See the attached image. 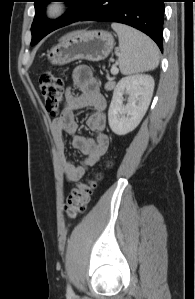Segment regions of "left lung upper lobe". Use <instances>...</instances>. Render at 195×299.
Here are the masks:
<instances>
[{
    "label": "left lung upper lobe",
    "mask_w": 195,
    "mask_h": 299,
    "mask_svg": "<svg viewBox=\"0 0 195 299\" xmlns=\"http://www.w3.org/2000/svg\"><path fill=\"white\" fill-rule=\"evenodd\" d=\"M91 1L92 0H65V2L70 5L67 13H65L62 17L49 22L44 17V6L49 2H53V0H34L35 17L31 26V45L36 44L52 31L73 22H77L84 15V12L88 10Z\"/></svg>",
    "instance_id": "obj_1"
}]
</instances>
